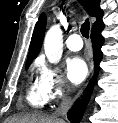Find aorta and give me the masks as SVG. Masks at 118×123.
I'll return each mask as SVG.
<instances>
[{
  "label": "aorta",
  "instance_id": "1",
  "mask_svg": "<svg viewBox=\"0 0 118 123\" xmlns=\"http://www.w3.org/2000/svg\"><path fill=\"white\" fill-rule=\"evenodd\" d=\"M44 51L50 63H58L63 53V35L59 25L52 26L45 35Z\"/></svg>",
  "mask_w": 118,
  "mask_h": 123
}]
</instances>
